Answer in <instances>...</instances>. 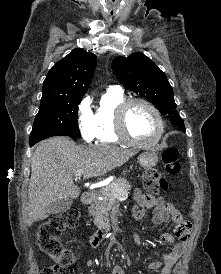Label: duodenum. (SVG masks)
Wrapping results in <instances>:
<instances>
[{"instance_id": "duodenum-1", "label": "duodenum", "mask_w": 221, "mask_h": 274, "mask_svg": "<svg viewBox=\"0 0 221 274\" xmlns=\"http://www.w3.org/2000/svg\"><path fill=\"white\" fill-rule=\"evenodd\" d=\"M94 192L92 190L84 191L81 195V202L88 204L92 201ZM109 227L107 225L102 226L89 236V244L91 247H98L109 235Z\"/></svg>"}]
</instances>
